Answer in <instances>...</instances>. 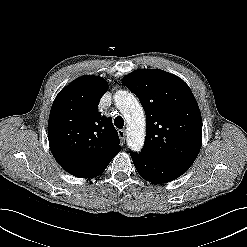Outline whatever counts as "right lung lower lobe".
Returning <instances> with one entry per match:
<instances>
[{"instance_id":"obj_1","label":"right lung lower lobe","mask_w":247,"mask_h":247,"mask_svg":"<svg viewBox=\"0 0 247 247\" xmlns=\"http://www.w3.org/2000/svg\"><path fill=\"white\" fill-rule=\"evenodd\" d=\"M114 157V156H113ZM113 157L86 168H65L68 173L79 178H91L100 175L108 166Z\"/></svg>"}]
</instances>
